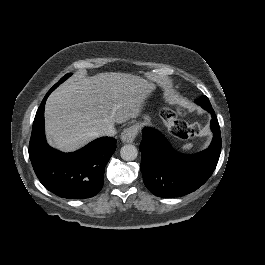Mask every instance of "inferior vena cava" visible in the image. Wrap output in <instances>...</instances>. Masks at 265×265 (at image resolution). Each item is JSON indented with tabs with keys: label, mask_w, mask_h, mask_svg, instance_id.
Segmentation results:
<instances>
[{
	"label": "inferior vena cava",
	"mask_w": 265,
	"mask_h": 265,
	"mask_svg": "<svg viewBox=\"0 0 265 265\" xmlns=\"http://www.w3.org/2000/svg\"><path fill=\"white\" fill-rule=\"evenodd\" d=\"M115 134H116V130H115L113 124H108V125L103 129V135H105V136H114Z\"/></svg>",
	"instance_id": "inferior-vena-cava-1"
}]
</instances>
